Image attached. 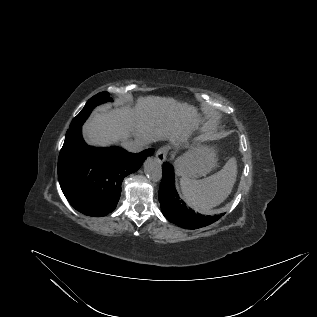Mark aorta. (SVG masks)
<instances>
[{
	"label": "aorta",
	"instance_id": "aorta-1",
	"mask_svg": "<svg viewBox=\"0 0 317 317\" xmlns=\"http://www.w3.org/2000/svg\"><path fill=\"white\" fill-rule=\"evenodd\" d=\"M144 172L153 182H159L162 179V166L160 160L154 157H147L144 162Z\"/></svg>",
	"mask_w": 317,
	"mask_h": 317
}]
</instances>
